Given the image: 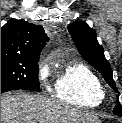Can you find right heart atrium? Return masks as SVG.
<instances>
[{
	"mask_svg": "<svg viewBox=\"0 0 122 123\" xmlns=\"http://www.w3.org/2000/svg\"><path fill=\"white\" fill-rule=\"evenodd\" d=\"M50 76H51V65L48 59H42L37 69V79L40 85L46 90L50 91Z\"/></svg>",
	"mask_w": 122,
	"mask_h": 123,
	"instance_id": "1",
	"label": "right heart atrium"
}]
</instances>
